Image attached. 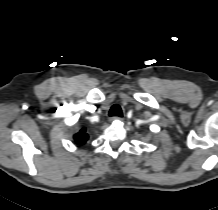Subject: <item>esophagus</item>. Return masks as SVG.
Wrapping results in <instances>:
<instances>
[{"instance_id":"obj_1","label":"esophagus","mask_w":218,"mask_h":210,"mask_svg":"<svg viewBox=\"0 0 218 210\" xmlns=\"http://www.w3.org/2000/svg\"><path fill=\"white\" fill-rule=\"evenodd\" d=\"M112 120H113V121H115V120L121 121V120H122V118H121V117H118V116H116V117H113V118H112Z\"/></svg>"}]
</instances>
